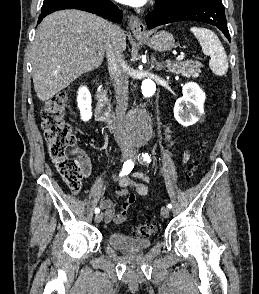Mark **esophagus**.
<instances>
[{"mask_svg":"<svg viewBox=\"0 0 259 294\" xmlns=\"http://www.w3.org/2000/svg\"><path fill=\"white\" fill-rule=\"evenodd\" d=\"M128 26L135 36L143 37L146 35V27L137 16L131 15L129 17Z\"/></svg>","mask_w":259,"mask_h":294,"instance_id":"34e87169","label":"esophagus"}]
</instances>
